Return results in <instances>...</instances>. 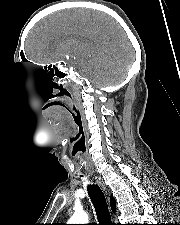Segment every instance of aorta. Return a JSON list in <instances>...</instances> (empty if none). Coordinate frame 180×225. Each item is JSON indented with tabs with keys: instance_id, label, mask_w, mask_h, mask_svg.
Here are the masks:
<instances>
[{
	"instance_id": "1",
	"label": "aorta",
	"mask_w": 180,
	"mask_h": 225,
	"mask_svg": "<svg viewBox=\"0 0 180 225\" xmlns=\"http://www.w3.org/2000/svg\"><path fill=\"white\" fill-rule=\"evenodd\" d=\"M88 216L84 212H76L74 215L70 218L69 224H88Z\"/></svg>"
}]
</instances>
